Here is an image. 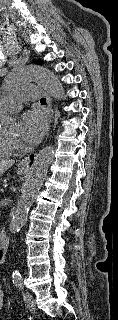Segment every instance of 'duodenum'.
<instances>
[{"label": "duodenum", "mask_w": 118, "mask_h": 320, "mask_svg": "<svg viewBox=\"0 0 118 320\" xmlns=\"http://www.w3.org/2000/svg\"><path fill=\"white\" fill-rule=\"evenodd\" d=\"M8 244H9L8 237L5 234L1 233L0 234V263H3L4 261V254L8 247Z\"/></svg>", "instance_id": "obj_1"}]
</instances>
